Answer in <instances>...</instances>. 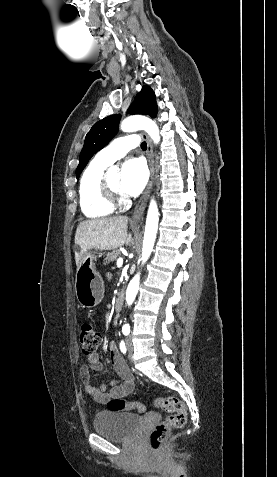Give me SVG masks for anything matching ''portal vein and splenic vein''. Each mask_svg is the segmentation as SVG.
<instances>
[{
    "label": "portal vein and splenic vein",
    "instance_id": "obj_1",
    "mask_svg": "<svg viewBox=\"0 0 277 477\" xmlns=\"http://www.w3.org/2000/svg\"><path fill=\"white\" fill-rule=\"evenodd\" d=\"M123 265V258L122 257H119L117 259V267H121Z\"/></svg>",
    "mask_w": 277,
    "mask_h": 477
}]
</instances>
